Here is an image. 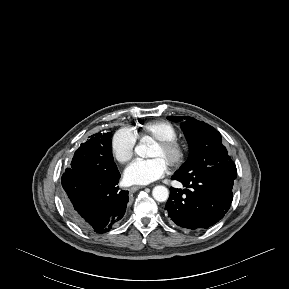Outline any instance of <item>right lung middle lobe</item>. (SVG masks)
Here are the masks:
<instances>
[{"instance_id":"obj_1","label":"right lung middle lobe","mask_w":289,"mask_h":289,"mask_svg":"<svg viewBox=\"0 0 289 289\" xmlns=\"http://www.w3.org/2000/svg\"><path fill=\"white\" fill-rule=\"evenodd\" d=\"M112 133L94 134L76 150L71 168L76 170L80 164L89 163L96 171H108L116 168L111 152Z\"/></svg>"}]
</instances>
